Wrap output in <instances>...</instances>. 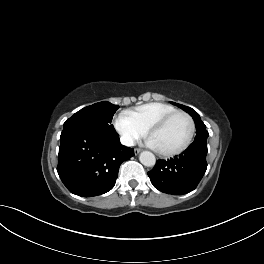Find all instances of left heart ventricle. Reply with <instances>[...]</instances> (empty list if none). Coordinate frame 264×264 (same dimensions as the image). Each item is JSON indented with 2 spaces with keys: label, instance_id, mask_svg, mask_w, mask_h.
<instances>
[{
  "label": "left heart ventricle",
  "instance_id": "b2bd125f",
  "mask_svg": "<svg viewBox=\"0 0 264 264\" xmlns=\"http://www.w3.org/2000/svg\"><path fill=\"white\" fill-rule=\"evenodd\" d=\"M190 132V124L183 116L173 118L163 129L151 136L157 149L169 151L181 146Z\"/></svg>",
  "mask_w": 264,
  "mask_h": 264
}]
</instances>
